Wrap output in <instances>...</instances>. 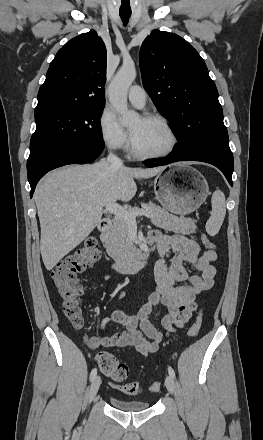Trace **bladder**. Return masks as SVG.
I'll return each instance as SVG.
<instances>
[{
    "instance_id": "obj_1",
    "label": "bladder",
    "mask_w": 263,
    "mask_h": 440,
    "mask_svg": "<svg viewBox=\"0 0 263 440\" xmlns=\"http://www.w3.org/2000/svg\"><path fill=\"white\" fill-rule=\"evenodd\" d=\"M112 405L124 411H142L149 408L150 404L140 399H125L116 396L110 398Z\"/></svg>"
}]
</instances>
